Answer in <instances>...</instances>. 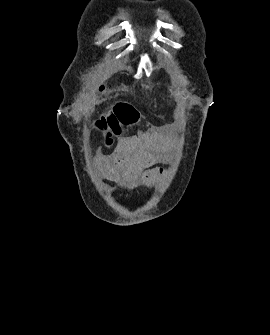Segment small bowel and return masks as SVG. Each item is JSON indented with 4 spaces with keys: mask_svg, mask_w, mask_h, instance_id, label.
Returning a JSON list of instances; mask_svg holds the SVG:
<instances>
[{
    "mask_svg": "<svg viewBox=\"0 0 270 335\" xmlns=\"http://www.w3.org/2000/svg\"><path fill=\"white\" fill-rule=\"evenodd\" d=\"M173 135L171 125L154 126L120 142L117 149L98 159V167L109 180L128 192L139 185L155 186L166 172L160 167L169 160L168 147Z\"/></svg>",
    "mask_w": 270,
    "mask_h": 335,
    "instance_id": "small-bowel-1",
    "label": "small bowel"
}]
</instances>
